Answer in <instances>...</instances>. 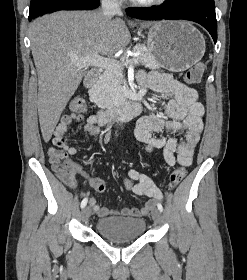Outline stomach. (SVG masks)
Returning a JSON list of instances; mask_svg holds the SVG:
<instances>
[{"label": "stomach", "mask_w": 247, "mask_h": 280, "mask_svg": "<svg viewBox=\"0 0 247 280\" xmlns=\"http://www.w3.org/2000/svg\"><path fill=\"white\" fill-rule=\"evenodd\" d=\"M147 28L149 52L161 67L169 71H185L205 53L203 35L189 22L159 21Z\"/></svg>", "instance_id": "1"}]
</instances>
